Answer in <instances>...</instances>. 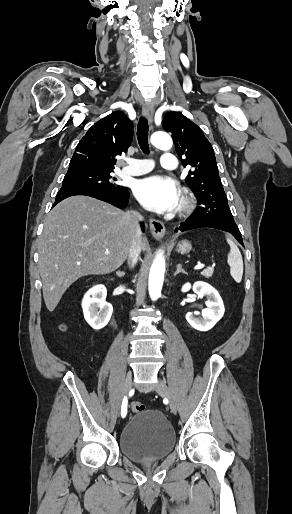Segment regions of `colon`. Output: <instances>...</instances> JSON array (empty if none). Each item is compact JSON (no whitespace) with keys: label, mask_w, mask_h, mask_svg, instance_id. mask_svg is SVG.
<instances>
[{"label":"colon","mask_w":292,"mask_h":514,"mask_svg":"<svg viewBox=\"0 0 292 514\" xmlns=\"http://www.w3.org/2000/svg\"><path fill=\"white\" fill-rule=\"evenodd\" d=\"M129 406L134 413H143L145 411V406L138 401H131Z\"/></svg>","instance_id":"5ec220e1"}]
</instances>
